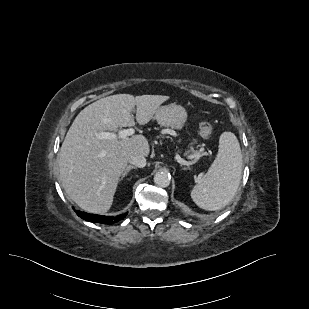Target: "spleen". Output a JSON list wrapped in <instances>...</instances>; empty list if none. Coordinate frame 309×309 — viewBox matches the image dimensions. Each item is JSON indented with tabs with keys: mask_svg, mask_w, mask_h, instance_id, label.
Returning <instances> with one entry per match:
<instances>
[{
	"mask_svg": "<svg viewBox=\"0 0 309 309\" xmlns=\"http://www.w3.org/2000/svg\"><path fill=\"white\" fill-rule=\"evenodd\" d=\"M242 161L237 137L232 132H223L214 162L191 191L195 204L208 211H216L229 204L240 185Z\"/></svg>",
	"mask_w": 309,
	"mask_h": 309,
	"instance_id": "3e777b00",
	"label": "spleen"
}]
</instances>
